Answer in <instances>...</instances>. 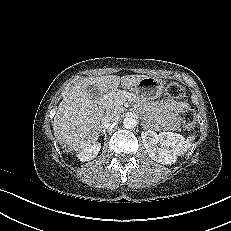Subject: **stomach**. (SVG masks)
I'll return each instance as SVG.
<instances>
[{
  "instance_id": "0dacf381",
  "label": "stomach",
  "mask_w": 231,
  "mask_h": 231,
  "mask_svg": "<svg viewBox=\"0 0 231 231\" xmlns=\"http://www.w3.org/2000/svg\"><path fill=\"white\" fill-rule=\"evenodd\" d=\"M130 89L141 100H154L163 94L164 83L159 78L147 76Z\"/></svg>"
}]
</instances>
